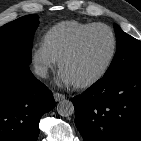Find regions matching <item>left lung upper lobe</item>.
Instances as JSON below:
<instances>
[{
    "instance_id": "5c2ea615",
    "label": "left lung upper lobe",
    "mask_w": 141,
    "mask_h": 141,
    "mask_svg": "<svg viewBox=\"0 0 141 141\" xmlns=\"http://www.w3.org/2000/svg\"><path fill=\"white\" fill-rule=\"evenodd\" d=\"M117 51L104 77L111 76L132 67H141V42L125 33L114 24Z\"/></svg>"
}]
</instances>
